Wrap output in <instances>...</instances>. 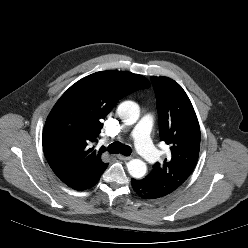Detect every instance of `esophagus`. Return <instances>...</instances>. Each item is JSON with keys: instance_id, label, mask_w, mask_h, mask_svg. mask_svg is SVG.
Listing matches in <instances>:
<instances>
[{"instance_id": "34e87169", "label": "esophagus", "mask_w": 248, "mask_h": 248, "mask_svg": "<svg viewBox=\"0 0 248 248\" xmlns=\"http://www.w3.org/2000/svg\"><path fill=\"white\" fill-rule=\"evenodd\" d=\"M117 158L120 159V160H123V161H128V160L132 159V157H130V156H124L122 154H118L117 155Z\"/></svg>"}]
</instances>
